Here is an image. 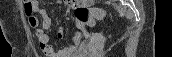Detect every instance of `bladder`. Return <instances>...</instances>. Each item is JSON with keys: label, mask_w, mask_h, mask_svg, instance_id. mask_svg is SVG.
Listing matches in <instances>:
<instances>
[{"label": "bladder", "mask_w": 172, "mask_h": 57, "mask_svg": "<svg viewBox=\"0 0 172 57\" xmlns=\"http://www.w3.org/2000/svg\"><path fill=\"white\" fill-rule=\"evenodd\" d=\"M72 57H91V56L89 55L88 52H85V53H78V54H75V55L72 56Z\"/></svg>", "instance_id": "1"}]
</instances>
